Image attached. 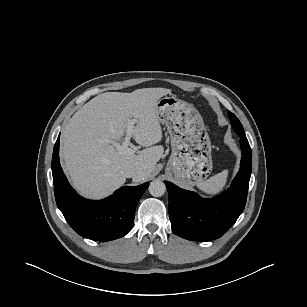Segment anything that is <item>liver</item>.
I'll list each match as a JSON object with an SVG mask.
<instances>
[{
  "label": "liver",
  "instance_id": "liver-1",
  "mask_svg": "<svg viewBox=\"0 0 307 307\" xmlns=\"http://www.w3.org/2000/svg\"><path fill=\"white\" fill-rule=\"evenodd\" d=\"M170 93L166 88L106 92L72 116L62 131L60 156L81 195L100 199L112 194L125 183L127 168L139 172L134 182L148 179L164 153L163 146L156 145L162 139L157 102ZM132 118L136 120L133 138L146 148L130 156L120 154L112 142L121 139Z\"/></svg>",
  "mask_w": 307,
  "mask_h": 307
}]
</instances>
